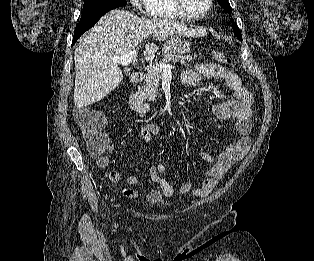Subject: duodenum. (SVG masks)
<instances>
[{
	"instance_id": "410a0bca",
	"label": "duodenum",
	"mask_w": 314,
	"mask_h": 261,
	"mask_svg": "<svg viewBox=\"0 0 314 261\" xmlns=\"http://www.w3.org/2000/svg\"><path fill=\"white\" fill-rule=\"evenodd\" d=\"M144 73L135 72L131 75V84L132 88L130 91V105L131 108L140 115H148L150 114V106L145 101L142 91L140 89V85L144 81Z\"/></svg>"
}]
</instances>
